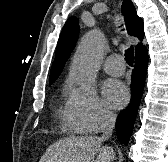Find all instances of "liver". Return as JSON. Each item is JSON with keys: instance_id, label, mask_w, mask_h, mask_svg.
<instances>
[{"instance_id": "6515ba94", "label": "liver", "mask_w": 168, "mask_h": 162, "mask_svg": "<svg viewBox=\"0 0 168 162\" xmlns=\"http://www.w3.org/2000/svg\"><path fill=\"white\" fill-rule=\"evenodd\" d=\"M101 145L99 137H67L50 145L39 162H112L113 149Z\"/></svg>"}]
</instances>
